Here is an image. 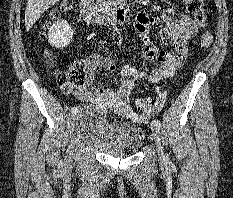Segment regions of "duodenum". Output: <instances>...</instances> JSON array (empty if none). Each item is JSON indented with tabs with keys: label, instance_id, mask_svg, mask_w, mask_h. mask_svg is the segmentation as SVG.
<instances>
[{
	"label": "duodenum",
	"instance_id": "1",
	"mask_svg": "<svg viewBox=\"0 0 233 198\" xmlns=\"http://www.w3.org/2000/svg\"><path fill=\"white\" fill-rule=\"evenodd\" d=\"M80 11L89 20L96 23L114 22L126 23L131 16V9L127 5H121L113 9H99L94 0H81Z\"/></svg>",
	"mask_w": 233,
	"mask_h": 198
}]
</instances>
